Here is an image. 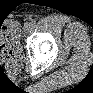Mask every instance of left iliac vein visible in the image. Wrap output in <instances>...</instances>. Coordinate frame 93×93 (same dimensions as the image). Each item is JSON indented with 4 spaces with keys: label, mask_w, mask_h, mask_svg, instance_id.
I'll use <instances>...</instances> for the list:
<instances>
[{
    "label": "left iliac vein",
    "mask_w": 93,
    "mask_h": 93,
    "mask_svg": "<svg viewBox=\"0 0 93 93\" xmlns=\"http://www.w3.org/2000/svg\"><path fill=\"white\" fill-rule=\"evenodd\" d=\"M31 23H29V22H26L25 24H24V27H23V29H24V32H27V31H29V29H30V27H31Z\"/></svg>",
    "instance_id": "obj_1"
}]
</instances>
